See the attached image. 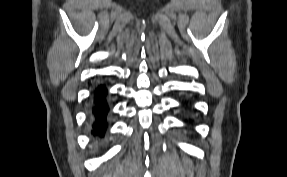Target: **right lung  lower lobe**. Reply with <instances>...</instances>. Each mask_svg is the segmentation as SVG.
I'll list each match as a JSON object with an SVG mask.
<instances>
[{
  "label": "right lung lower lobe",
  "mask_w": 287,
  "mask_h": 177,
  "mask_svg": "<svg viewBox=\"0 0 287 177\" xmlns=\"http://www.w3.org/2000/svg\"><path fill=\"white\" fill-rule=\"evenodd\" d=\"M107 88L104 84L97 85L92 92V133L104 137L108 128L107 115L110 110L106 101Z\"/></svg>",
  "instance_id": "obj_1"
}]
</instances>
